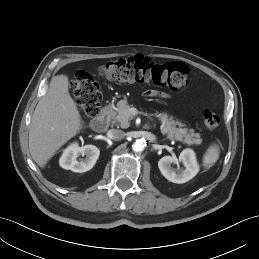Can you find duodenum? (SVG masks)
Segmentation results:
<instances>
[{
  "label": "duodenum",
  "mask_w": 259,
  "mask_h": 259,
  "mask_svg": "<svg viewBox=\"0 0 259 259\" xmlns=\"http://www.w3.org/2000/svg\"><path fill=\"white\" fill-rule=\"evenodd\" d=\"M110 120V109L106 107L102 113L93 121V128L96 131L103 132L108 128Z\"/></svg>",
  "instance_id": "duodenum-1"
}]
</instances>
